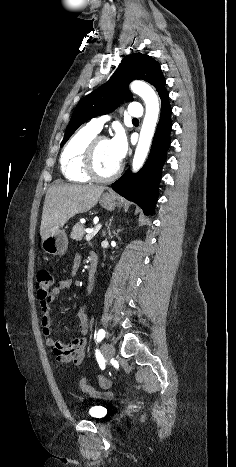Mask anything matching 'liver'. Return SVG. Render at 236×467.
Instances as JSON below:
<instances>
[{"mask_svg": "<svg viewBox=\"0 0 236 467\" xmlns=\"http://www.w3.org/2000/svg\"><path fill=\"white\" fill-rule=\"evenodd\" d=\"M104 190L103 186L53 184L47 191L43 205L40 226L42 240L63 227L76 214L93 208Z\"/></svg>", "mask_w": 236, "mask_h": 467, "instance_id": "liver-1", "label": "liver"}]
</instances>
